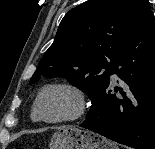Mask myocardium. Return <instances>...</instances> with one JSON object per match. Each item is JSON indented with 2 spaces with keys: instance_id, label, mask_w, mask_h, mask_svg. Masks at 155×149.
I'll use <instances>...</instances> for the list:
<instances>
[{
  "instance_id": "1",
  "label": "myocardium",
  "mask_w": 155,
  "mask_h": 149,
  "mask_svg": "<svg viewBox=\"0 0 155 149\" xmlns=\"http://www.w3.org/2000/svg\"><path fill=\"white\" fill-rule=\"evenodd\" d=\"M52 89H61L68 91L75 97L76 100L75 109L70 115L56 119H48L42 115L39 108L40 101L44 96V94ZM86 109H87L86 96L80 87L68 82H53L46 84L40 89L34 100L32 111L36 115L37 119L40 121H43L48 124H63L79 120L84 116Z\"/></svg>"
}]
</instances>
